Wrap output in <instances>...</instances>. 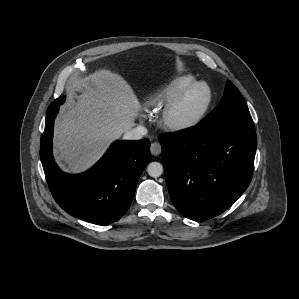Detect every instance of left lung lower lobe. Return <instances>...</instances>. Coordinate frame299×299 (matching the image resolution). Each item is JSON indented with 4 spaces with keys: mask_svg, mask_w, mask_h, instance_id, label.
Instances as JSON below:
<instances>
[{
    "mask_svg": "<svg viewBox=\"0 0 299 299\" xmlns=\"http://www.w3.org/2000/svg\"><path fill=\"white\" fill-rule=\"evenodd\" d=\"M171 200L191 220L215 217L247 189L257 147L254 128L199 125L158 137Z\"/></svg>",
    "mask_w": 299,
    "mask_h": 299,
    "instance_id": "left-lung-lower-lobe-1",
    "label": "left lung lower lobe"
}]
</instances>
